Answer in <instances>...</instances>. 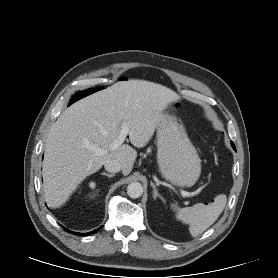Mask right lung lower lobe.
<instances>
[{
  "mask_svg": "<svg viewBox=\"0 0 278 278\" xmlns=\"http://www.w3.org/2000/svg\"><path fill=\"white\" fill-rule=\"evenodd\" d=\"M66 231H68V232H70V233H73V234H78V235H88V234H92V233H94V232H96L97 230H95V231H92V232H90V233H86V234H80V233H74V232H72V231H69V230H67L66 228H64Z\"/></svg>",
  "mask_w": 278,
  "mask_h": 278,
  "instance_id": "right-lung-lower-lobe-1",
  "label": "right lung lower lobe"
}]
</instances>
